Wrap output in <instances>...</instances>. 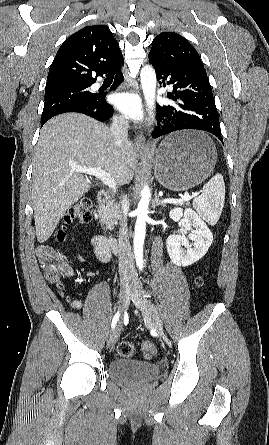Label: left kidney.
<instances>
[{
  "instance_id": "left-kidney-1",
  "label": "left kidney",
  "mask_w": 269,
  "mask_h": 445,
  "mask_svg": "<svg viewBox=\"0 0 269 445\" xmlns=\"http://www.w3.org/2000/svg\"><path fill=\"white\" fill-rule=\"evenodd\" d=\"M169 216L172 220L180 222L184 234L188 236L170 235L166 240L168 255L177 266H190L207 253L213 242L212 232L190 208L184 211L181 208H174Z\"/></svg>"
}]
</instances>
